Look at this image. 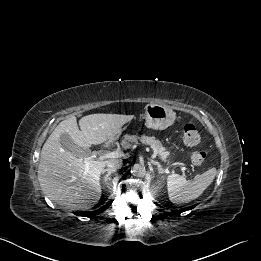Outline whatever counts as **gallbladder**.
I'll return each mask as SVG.
<instances>
[{"label":"gallbladder","instance_id":"obj_1","mask_svg":"<svg viewBox=\"0 0 261 261\" xmlns=\"http://www.w3.org/2000/svg\"><path fill=\"white\" fill-rule=\"evenodd\" d=\"M60 142L62 147L66 151H69L75 155L85 157L90 154V150L81 148L78 145H76L68 134H62L60 136Z\"/></svg>","mask_w":261,"mask_h":261}]
</instances>
